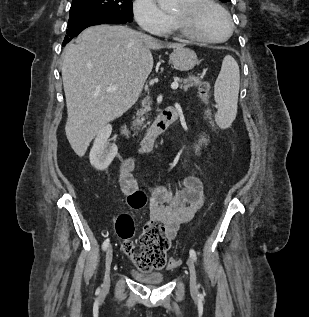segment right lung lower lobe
<instances>
[{
	"instance_id": "98d812e1",
	"label": "right lung lower lobe",
	"mask_w": 309,
	"mask_h": 317,
	"mask_svg": "<svg viewBox=\"0 0 309 317\" xmlns=\"http://www.w3.org/2000/svg\"><path fill=\"white\" fill-rule=\"evenodd\" d=\"M104 23L122 24L126 23V21L116 17L100 14H83L71 16L68 21L67 35L65 36L62 45L65 46L71 40V38L77 36L85 28Z\"/></svg>"
}]
</instances>
